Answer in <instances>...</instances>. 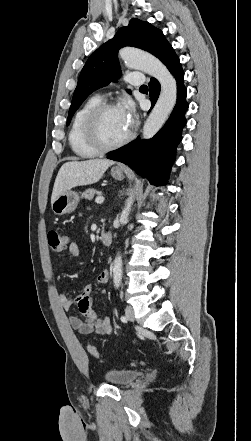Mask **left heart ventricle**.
I'll list each match as a JSON object with an SVG mask.
<instances>
[{
	"label": "left heart ventricle",
	"mask_w": 251,
	"mask_h": 441,
	"mask_svg": "<svg viewBox=\"0 0 251 441\" xmlns=\"http://www.w3.org/2000/svg\"><path fill=\"white\" fill-rule=\"evenodd\" d=\"M130 127L126 123L119 108L107 111L99 121V133L107 144H113L123 139Z\"/></svg>",
	"instance_id": "b2bd125f"
}]
</instances>
